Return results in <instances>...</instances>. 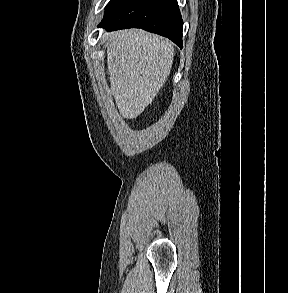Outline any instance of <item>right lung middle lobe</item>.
<instances>
[{
	"mask_svg": "<svg viewBox=\"0 0 288 293\" xmlns=\"http://www.w3.org/2000/svg\"><path fill=\"white\" fill-rule=\"evenodd\" d=\"M129 0H110L106 6L105 15L102 22L110 19L116 14ZM101 22V23H102Z\"/></svg>",
	"mask_w": 288,
	"mask_h": 293,
	"instance_id": "dd1d6c3e",
	"label": "right lung middle lobe"
}]
</instances>
